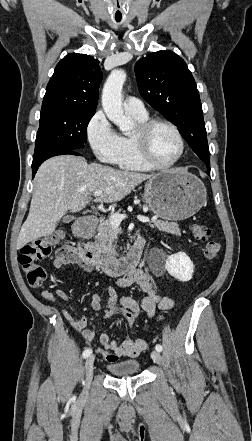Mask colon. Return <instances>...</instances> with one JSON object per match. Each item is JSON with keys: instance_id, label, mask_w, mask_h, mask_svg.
Listing matches in <instances>:
<instances>
[{"instance_id": "5ec220e1", "label": "colon", "mask_w": 252, "mask_h": 441, "mask_svg": "<svg viewBox=\"0 0 252 441\" xmlns=\"http://www.w3.org/2000/svg\"><path fill=\"white\" fill-rule=\"evenodd\" d=\"M191 235L194 239L205 242L204 255L207 259L216 258L221 250L219 242L210 240L211 230L203 224H192ZM61 240V234L56 232L39 240L26 244L20 250L18 262L25 273L28 284L32 287L40 285L47 277L46 270L38 264L50 256L53 247ZM140 310L136 305H110L103 310L104 319L121 318L133 326L136 324ZM101 355L109 362H115L118 357L114 353L101 351Z\"/></svg>"}]
</instances>
